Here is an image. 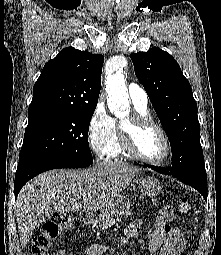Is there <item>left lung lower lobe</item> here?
<instances>
[{
	"mask_svg": "<svg viewBox=\"0 0 221 255\" xmlns=\"http://www.w3.org/2000/svg\"><path fill=\"white\" fill-rule=\"evenodd\" d=\"M149 168L153 169L154 171H157L162 174L169 175L170 172L168 169L163 167H157V166H151L146 165ZM181 182L192 186L196 190H198L204 197L205 200H207V175L206 172L195 174V175H189V176H177L176 177Z\"/></svg>",
	"mask_w": 221,
	"mask_h": 255,
	"instance_id": "left-lung-lower-lobe-1",
	"label": "left lung lower lobe"
}]
</instances>
